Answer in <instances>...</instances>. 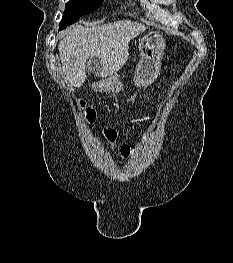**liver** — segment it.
<instances>
[{"mask_svg":"<svg viewBox=\"0 0 233 263\" xmlns=\"http://www.w3.org/2000/svg\"><path fill=\"white\" fill-rule=\"evenodd\" d=\"M147 28L130 20L85 28L67 29L58 50L62 71L72 87H80L85 79L86 61L95 59L94 71L99 77L112 75L123 67L129 57V42Z\"/></svg>","mask_w":233,"mask_h":263,"instance_id":"obj_1","label":"liver"}]
</instances>
